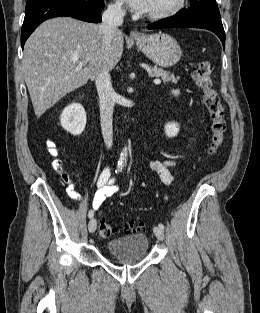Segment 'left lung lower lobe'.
Masks as SVG:
<instances>
[{
  "instance_id": "1",
  "label": "left lung lower lobe",
  "mask_w": 260,
  "mask_h": 313,
  "mask_svg": "<svg viewBox=\"0 0 260 313\" xmlns=\"http://www.w3.org/2000/svg\"><path fill=\"white\" fill-rule=\"evenodd\" d=\"M173 27H193V28H203L214 32L222 41L223 46H225V33L222 24L206 21L190 19L186 17L165 19V22L159 24H153L147 26L148 29H161V28H173Z\"/></svg>"
}]
</instances>
